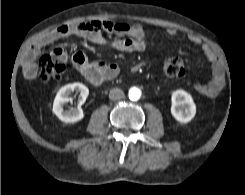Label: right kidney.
Wrapping results in <instances>:
<instances>
[{
	"label": "right kidney",
	"mask_w": 245,
	"mask_h": 195,
	"mask_svg": "<svg viewBox=\"0 0 245 195\" xmlns=\"http://www.w3.org/2000/svg\"><path fill=\"white\" fill-rule=\"evenodd\" d=\"M76 91L79 93V104L76 109L64 110V105L70 100L69 96ZM89 95V89L82 83H73L63 86L58 92L53 103V113L65 123H75L83 119L84 112L81 105Z\"/></svg>",
	"instance_id": "obj_1"
}]
</instances>
